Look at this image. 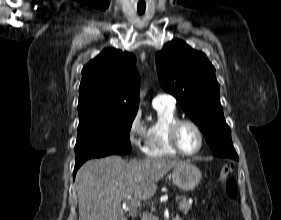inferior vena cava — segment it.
<instances>
[{
	"label": "inferior vena cava",
	"mask_w": 281,
	"mask_h": 220,
	"mask_svg": "<svg viewBox=\"0 0 281 220\" xmlns=\"http://www.w3.org/2000/svg\"><path fill=\"white\" fill-rule=\"evenodd\" d=\"M141 220H155V217L152 214L144 212Z\"/></svg>",
	"instance_id": "602c4592"
}]
</instances>
